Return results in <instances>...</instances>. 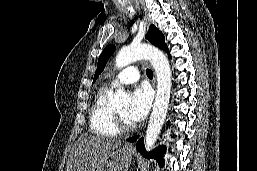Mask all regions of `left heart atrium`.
I'll return each instance as SVG.
<instances>
[{"label": "left heart atrium", "instance_id": "39dd6f15", "mask_svg": "<svg viewBox=\"0 0 257 171\" xmlns=\"http://www.w3.org/2000/svg\"><path fill=\"white\" fill-rule=\"evenodd\" d=\"M152 95L145 86H139L134 89L131 95V104L128 108V117L132 122L143 120L151 107Z\"/></svg>", "mask_w": 257, "mask_h": 171}]
</instances>
